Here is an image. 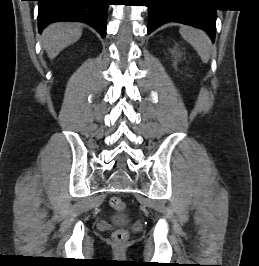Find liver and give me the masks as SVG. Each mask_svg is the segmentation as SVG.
<instances>
[{
	"instance_id": "1",
	"label": "liver",
	"mask_w": 259,
	"mask_h": 266,
	"mask_svg": "<svg viewBox=\"0 0 259 266\" xmlns=\"http://www.w3.org/2000/svg\"><path fill=\"white\" fill-rule=\"evenodd\" d=\"M81 35L82 28L78 23H53L44 29L42 45L48 57L54 59L63 49L78 41Z\"/></svg>"
}]
</instances>
